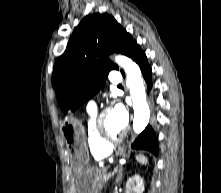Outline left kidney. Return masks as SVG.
<instances>
[{
  "label": "left kidney",
  "instance_id": "left-kidney-1",
  "mask_svg": "<svg viewBox=\"0 0 221 193\" xmlns=\"http://www.w3.org/2000/svg\"><path fill=\"white\" fill-rule=\"evenodd\" d=\"M144 189L143 178L138 174L130 177L126 182V193H143Z\"/></svg>",
  "mask_w": 221,
  "mask_h": 193
}]
</instances>
